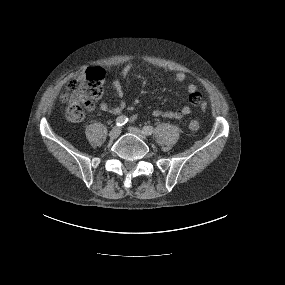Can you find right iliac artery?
<instances>
[{"mask_svg":"<svg viewBox=\"0 0 285 285\" xmlns=\"http://www.w3.org/2000/svg\"><path fill=\"white\" fill-rule=\"evenodd\" d=\"M127 122H128V118L126 116H123V115L117 117V119H116V125L119 127L125 125Z\"/></svg>","mask_w":285,"mask_h":285,"instance_id":"1","label":"right iliac artery"}]
</instances>
